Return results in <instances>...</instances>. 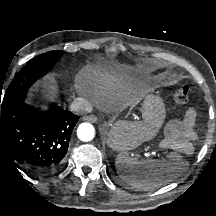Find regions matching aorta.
<instances>
[{
  "mask_svg": "<svg viewBox=\"0 0 216 216\" xmlns=\"http://www.w3.org/2000/svg\"><path fill=\"white\" fill-rule=\"evenodd\" d=\"M77 135L81 141L88 142L94 138L95 129L90 123H82L77 129Z\"/></svg>",
  "mask_w": 216,
  "mask_h": 216,
  "instance_id": "aorta-1",
  "label": "aorta"
}]
</instances>
